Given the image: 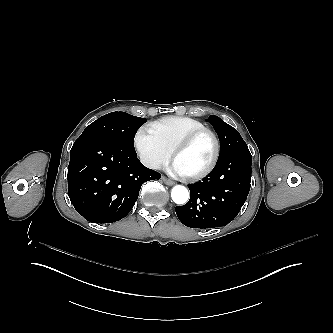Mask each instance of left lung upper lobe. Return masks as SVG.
Listing matches in <instances>:
<instances>
[{
  "label": "left lung upper lobe",
  "mask_w": 333,
  "mask_h": 333,
  "mask_svg": "<svg viewBox=\"0 0 333 333\" xmlns=\"http://www.w3.org/2000/svg\"><path fill=\"white\" fill-rule=\"evenodd\" d=\"M206 121L214 127L220 140V155L218 159L224 158L237 149L247 147L239 132L219 117L211 115Z\"/></svg>",
  "instance_id": "left-lung-upper-lobe-1"
}]
</instances>
